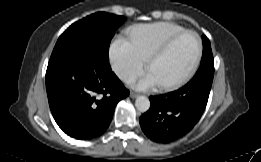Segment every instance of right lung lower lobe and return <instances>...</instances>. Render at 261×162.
I'll list each match as a JSON object with an SVG mask.
<instances>
[{
	"instance_id": "1",
	"label": "right lung lower lobe",
	"mask_w": 261,
	"mask_h": 162,
	"mask_svg": "<svg viewBox=\"0 0 261 162\" xmlns=\"http://www.w3.org/2000/svg\"><path fill=\"white\" fill-rule=\"evenodd\" d=\"M46 89L58 126L67 135L81 140L103 134L116 104L129 95L112 72L109 59L90 51L50 58Z\"/></svg>"
}]
</instances>
